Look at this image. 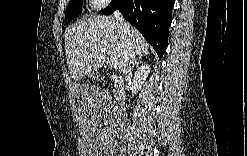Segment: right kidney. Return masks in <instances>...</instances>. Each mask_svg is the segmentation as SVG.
Returning a JSON list of instances; mask_svg holds the SVG:
<instances>
[{
    "label": "right kidney",
    "mask_w": 247,
    "mask_h": 156,
    "mask_svg": "<svg viewBox=\"0 0 247 156\" xmlns=\"http://www.w3.org/2000/svg\"><path fill=\"white\" fill-rule=\"evenodd\" d=\"M150 65L144 64L138 68L133 77V84L137 89H140L144 80L148 77Z\"/></svg>",
    "instance_id": "obj_1"
}]
</instances>
